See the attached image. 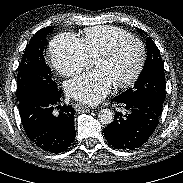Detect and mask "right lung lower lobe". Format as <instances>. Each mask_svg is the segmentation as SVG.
Returning a JSON list of instances; mask_svg holds the SVG:
<instances>
[{"mask_svg": "<svg viewBox=\"0 0 183 183\" xmlns=\"http://www.w3.org/2000/svg\"><path fill=\"white\" fill-rule=\"evenodd\" d=\"M62 91L52 94H32L19 102V114L29 139L39 148L60 153L75 139L72 106L59 105ZM60 109L59 113L54 109Z\"/></svg>", "mask_w": 183, "mask_h": 183, "instance_id": "right-lung-lower-lobe-1", "label": "right lung lower lobe"}]
</instances>
